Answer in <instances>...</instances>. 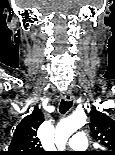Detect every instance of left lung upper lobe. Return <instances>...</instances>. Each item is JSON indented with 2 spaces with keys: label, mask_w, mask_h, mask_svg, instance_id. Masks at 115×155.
<instances>
[{
  "label": "left lung upper lobe",
  "mask_w": 115,
  "mask_h": 155,
  "mask_svg": "<svg viewBox=\"0 0 115 155\" xmlns=\"http://www.w3.org/2000/svg\"><path fill=\"white\" fill-rule=\"evenodd\" d=\"M90 128L92 136L107 150L100 151L98 155H115V121L106 114L91 107Z\"/></svg>",
  "instance_id": "1"
}]
</instances>
